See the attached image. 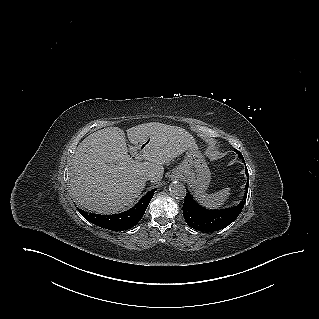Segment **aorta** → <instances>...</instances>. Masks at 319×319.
<instances>
[{"label": "aorta", "instance_id": "1", "mask_svg": "<svg viewBox=\"0 0 319 319\" xmlns=\"http://www.w3.org/2000/svg\"><path fill=\"white\" fill-rule=\"evenodd\" d=\"M170 194L178 199H182L186 196V188L180 182H173L169 186Z\"/></svg>", "mask_w": 319, "mask_h": 319}]
</instances>
